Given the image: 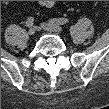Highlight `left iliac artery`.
<instances>
[{
  "instance_id": "obj_1",
  "label": "left iliac artery",
  "mask_w": 109,
  "mask_h": 109,
  "mask_svg": "<svg viewBox=\"0 0 109 109\" xmlns=\"http://www.w3.org/2000/svg\"><path fill=\"white\" fill-rule=\"evenodd\" d=\"M51 23L57 24V25H64L69 23V19L67 18H53L50 20Z\"/></svg>"
}]
</instances>
